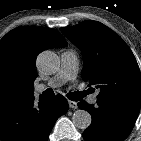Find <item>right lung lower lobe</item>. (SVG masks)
<instances>
[{"label":"right lung lower lobe","mask_w":141,"mask_h":141,"mask_svg":"<svg viewBox=\"0 0 141 141\" xmlns=\"http://www.w3.org/2000/svg\"><path fill=\"white\" fill-rule=\"evenodd\" d=\"M67 100L34 96L0 106V141H47L56 120L68 111Z\"/></svg>","instance_id":"right-lung-lower-lobe-1"}]
</instances>
